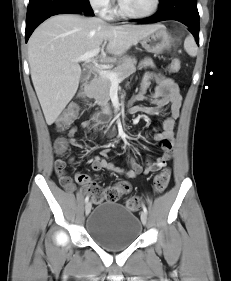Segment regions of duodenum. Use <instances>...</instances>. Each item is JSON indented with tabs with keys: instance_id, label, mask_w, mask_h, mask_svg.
I'll return each mask as SVG.
<instances>
[{
	"instance_id": "410a0bca",
	"label": "duodenum",
	"mask_w": 231,
	"mask_h": 281,
	"mask_svg": "<svg viewBox=\"0 0 231 281\" xmlns=\"http://www.w3.org/2000/svg\"><path fill=\"white\" fill-rule=\"evenodd\" d=\"M94 79H91L87 83H85L78 92V98L81 101H86L89 97L91 86ZM92 120L97 124H106L110 120V114L108 112L95 114L92 116Z\"/></svg>"
}]
</instances>
